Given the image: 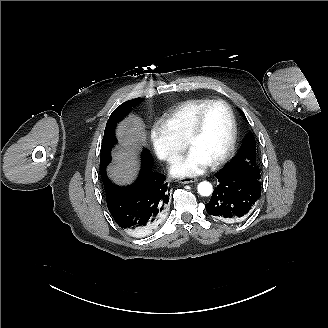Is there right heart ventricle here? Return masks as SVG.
<instances>
[{
    "label": "right heart ventricle",
    "mask_w": 328,
    "mask_h": 328,
    "mask_svg": "<svg viewBox=\"0 0 328 328\" xmlns=\"http://www.w3.org/2000/svg\"><path fill=\"white\" fill-rule=\"evenodd\" d=\"M207 98L187 100L158 117L169 134L179 143H184L186 134L198 112L210 102Z\"/></svg>",
    "instance_id": "1"
}]
</instances>
